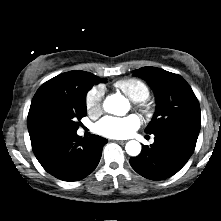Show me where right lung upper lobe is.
Instances as JSON below:
<instances>
[{
	"instance_id": "right-lung-upper-lobe-1",
	"label": "right lung upper lobe",
	"mask_w": 221,
	"mask_h": 221,
	"mask_svg": "<svg viewBox=\"0 0 221 221\" xmlns=\"http://www.w3.org/2000/svg\"><path fill=\"white\" fill-rule=\"evenodd\" d=\"M80 72H85V71H70V72L63 73L45 82L43 86L51 84V85H56L59 87H67L68 84ZM85 73L91 79H94V80L100 79L94 74H91L89 72H85ZM34 104H35V100L33 99L31 106H30L29 114H28V131H29L33 151L36 150L38 147H40L48 138L55 135V133L48 130L46 127H44L41 123H39L35 119L33 115Z\"/></svg>"
}]
</instances>
